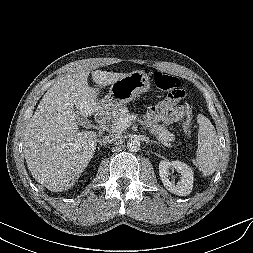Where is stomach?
<instances>
[{
  "label": "stomach",
  "mask_w": 253,
  "mask_h": 253,
  "mask_svg": "<svg viewBox=\"0 0 253 253\" xmlns=\"http://www.w3.org/2000/svg\"><path fill=\"white\" fill-rule=\"evenodd\" d=\"M149 88L148 75L143 71H133L111 84L108 95L101 101L102 111H114Z\"/></svg>",
  "instance_id": "obj_1"
}]
</instances>
